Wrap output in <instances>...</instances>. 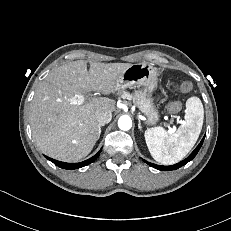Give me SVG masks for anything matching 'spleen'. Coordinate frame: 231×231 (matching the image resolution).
I'll return each instance as SVG.
<instances>
[{"label": "spleen", "mask_w": 231, "mask_h": 231, "mask_svg": "<svg viewBox=\"0 0 231 231\" xmlns=\"http://www.w3.org/2000/svg\"><path fill=\"white\" fill-rule=\"evenodd\" d=\"M204 109L198 97L186 101L184 121L176 131L168 132L162 127L145 131V140L151 156L163 165L181 161L195 145L202 129Z\"/></svg>", "instance_id": "spleen-1"}]
</instances>
